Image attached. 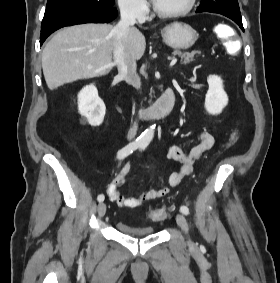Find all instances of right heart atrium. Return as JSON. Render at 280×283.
<instances>
[{
  "instance_id": "obj_1",
  "label": "right heart atrium",
  "mask_w": 280,
  "mask_h": 283,
  "mask_svg": "<svg viewBox=\"0 0 280 283\" xmlns=\"http://www.w3.org/2000/svg\"><path fill=\"white\" fill-rule=\"evenodd\" d=\"M119 8L125 15L141 19L148 12V4L145 0H118Z\"/></svg>"
}]
</instances>
